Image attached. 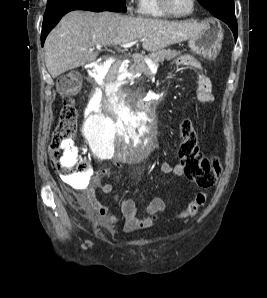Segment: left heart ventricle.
I'll list each match as a JSON object with an SVG mask.
<instances>
[{
	"instance_id": "left-heart-ventricle-1",
	"label": "left heart ventricle",
	"mask_w": 267,
	"mask_h": 298,
	"mask_svg": "<svg viewBox=\"0 0 267 298\" xmlns=\"http://www.w3.org/2000/svg\"><path fill=\"white\" fill-rule=\"evenodd\" d=\"M169 7L177 14H185L192 7V0H168Z\"/></svg>"
}]
</instances>
